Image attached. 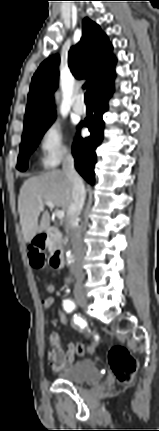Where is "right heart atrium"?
<instances>
[{
    "label": "right heart atrium",
    "mask_w": 159,
    "mask_h": 431,
    "mask_svg": "<svg viewBox=\"0 0 159 431\" xmlns=\"http://www.w3.org/2000/svg\"><path fill=\"white\" fill-rule=\"evenodd\" d=\"M40 162L46 169L56 167L70 153L62 124L52 120L46 124L38 140Z\"/></svg>",
    "instance_id": "obj_1"
}]
</instances>
